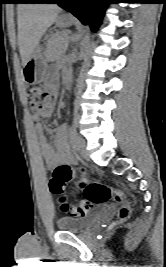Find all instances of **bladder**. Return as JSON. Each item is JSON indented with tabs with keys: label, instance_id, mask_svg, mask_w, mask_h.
Masks as SVG:
<instances>
[{
	"label": "bladder",
	"instance_id": "1",
	"mask_svg": "<svg viewBox=\"0 0 166 267\" xmlns=\"http://www.w3.org/2000/svg\"><path fill=\"white\" fill-rule=\"evenodd\" d=\"M96 221L95 215L81 217H61L57 220V227L62 231H85Z\"/></svg>",
	"mask_w": 166,
	"mask_h": 267
}]
</instances>
